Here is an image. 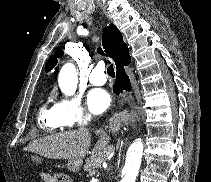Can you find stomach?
Returning a JSON list of instances; mask_svg holds the SVG:
<instances>
[{"label": "stomach", "instance_id": "stomach-1", "mask_svg": "<svg viewBox=\"0 0 211 182\" xmlns=\"http://www.w3.org/2000/svg\"><path fill=\"white\" fill-rule=\"evenodd\" d=\"M81 165V159H70L66 166L70 172H77L80 169Z\"/></svg>", "mask_w": 211, "mask_h": 182}]
</instances>
